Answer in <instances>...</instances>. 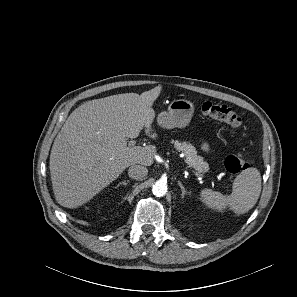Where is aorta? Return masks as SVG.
<instances>
[{
	"instance_id": "obj_1",
	"label": "aorta",
	"mask_w": 297,
	"mask_h": 297,
	"mask_svg": "<svg viewBox=\"0 0 297 297\" xmlns=\"http://www.w3.org/2000/svg\"><path fill=\"white\" fill-rule=\"evenodd\" d=\"M152 192L157 197H162L167 193V184L162 181L158 180L152 187Z\"/></svg>"
}]
</instances>
